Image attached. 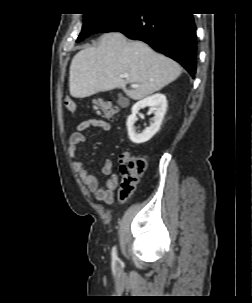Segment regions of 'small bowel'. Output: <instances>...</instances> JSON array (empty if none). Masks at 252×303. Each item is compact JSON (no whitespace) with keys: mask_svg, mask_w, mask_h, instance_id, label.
<instances>
[{"mask_svg":"<svg viewBox=\"0 0 252 303\" xmlns=\"http://www.w3.org/2000/svg\"><path fill=\"white\" fill-rule=\"evenodd\" d=\"M91 127H97L105 132L111 130V125L107 120L96 118L82 120L76 125L74 132L69 138L68 155L72 161L74 171L95 199L105 203H111L114 192L119 185V176L112 170V161L110 159L103 161L101 172L108 177V180L104 185H100L97 177L89 172L77 157L78 147L84 143L86 139L84 132Z\"/></svg>","mask_w":252,"mask_h":303,"instance_id":"c3829d8e","label":"small bowel"}]
</instances>
